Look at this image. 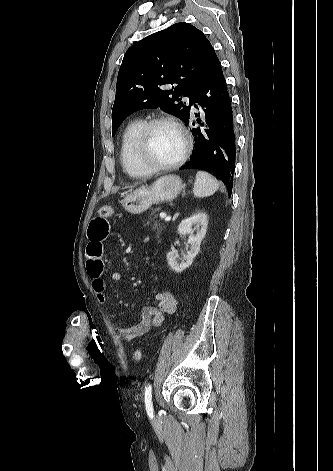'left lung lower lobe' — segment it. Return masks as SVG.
Returning a JSON list of instances; mask_svg holds the SVG:
<instances>
[{"label": "left lung lower lobe", "mask_w": 333, "mask_h": 471, "mask_svg": "<svg viewBox=\"0 0 333 471\" xmlns=\"http://www.w3.org/2000/svg\"><path fill=\"white\" fill-rule=\"evenodd\" d=\"M195 102L205 108L206 124L205 128H194L195 122L191 118L186 124L193 127L195 150L191 160L180 169L197 168L213 173L226 185L230 196L236 157V126L231 98L217 56L197 89ZM195 116L201 124L199 114Z\"/></svg>", "instance_id": "1"}]
</instances>
